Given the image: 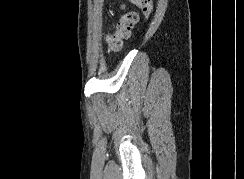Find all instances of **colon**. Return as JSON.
<instances>
[{"label": "colon", "instance_id": "obj_1", "mask_svg": "<svg viewBox=\"0 0 244 179\" xmlns=\"http://www.w3.org/2000/svg\"><path fill=\"white\" fill-rule=\"evenodd\" d=\"M153 0H136L135 6L148 18L153 11ZM129 3H134L135 0H128ZM137 13L135 11H127L121 17L118 28L115 33L107 34L105 37L106 44L111 51H118L123 46V41L128 38L137 21Z\"/></svg>", "mask_w": 244, "mask_h": 179}]
</instances>
